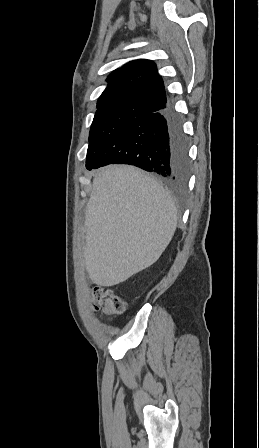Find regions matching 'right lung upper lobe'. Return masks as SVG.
Instances as JSON below:
<instances>
[{"label": "right lung upper lobe", "mask_w": 259, "mask_h": 448, "mask_svg": "<svg viewBox=\"0 0 259 448\" xmlns=\"http://www.w3.org/2000/svg\"><path fill=\"white\" fill-rule=\"evenodd\" d=\"M97 102L96 113H139L163 109L168 103L156 64L147 59L128 62L114 70Z\"/></svg>", "instance_id": "1"}]
</instances>
